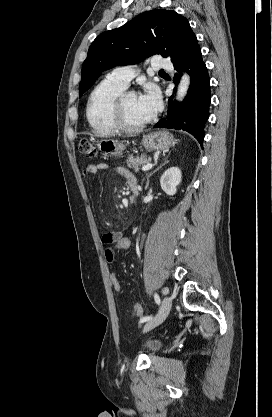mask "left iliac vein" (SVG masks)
Returning <instances> with one entry per match:
<instances>
[{"instance_id": "obj_1", "label": "left iliac vein", "mask_w": 272, "mask_h": 417, "mask_svg": "<svg viewBox=\"0 0 272 417\" xmlns=\"http://www.w3.org/2000/svg\"><path fill=\"white\" fill-rule=\"evenodd\" d=\"M172 306V299L169 296H165L162 300V304L157 315L150 319L143 327V332L150 331L151 329L160 325L168 316Z\"/></svg>"}]
</instances>
